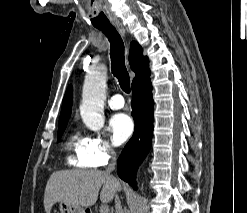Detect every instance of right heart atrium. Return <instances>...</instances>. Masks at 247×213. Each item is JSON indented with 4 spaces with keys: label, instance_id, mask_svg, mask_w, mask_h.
I'll list each match as a JSON object with an SVG mask.
<instances>
[{
    "label": "right heart atrium",
    "instance_id": "d8ad5b80",
    "mask_svg": "<svg viewBox=\"0 0 247 213\" xmlns=\"http://www.w3.org/2000/svg\"><path fill=\"white\" fill-rule=\"evenodd\" d=\"M115 154V149L108 139L100 135L87 138L85 156L91 167L105 166Z\"/></svg>",
    "mask_w": 247,
    "mask_h": 213
}]
</instances>
